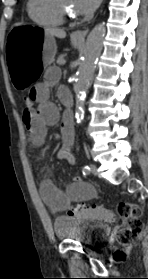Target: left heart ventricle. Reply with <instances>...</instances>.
<instances>
[{
    "instance_id": "1",
    "label": "left heart ventricle",
    "mask_w": 148,
    "mask_h": 279,
    "mask_svg": "<svg viewBox=\"0 0 148 279\" xmlns=\"http://www.w3.org/2000/svg\"><path fill=\"white\" fill-rule=\"evenodd\" d=\"M62 4L68 8L70 11H72L73 13L75 12L74 9V1L73 0H61Z\"/></svg>"
}]
</instances>
